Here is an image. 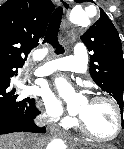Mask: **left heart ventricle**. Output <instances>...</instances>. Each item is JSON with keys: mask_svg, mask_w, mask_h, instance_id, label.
<instances>
[{"mask_svg": "<svg viewBox=\"0 0 124 149\" xmlns=\"http://www.w3.org/2000/svg\"><path fill=\"white\" fill-rule=\"evenodd\" d=\"M76 114L99 137H111L116 131V115L113 107L107 102H83L78 105Z\"/></svg>", "mask_w": 124, "mask_h": 149, "instance_id": "1", "label": "left heart ventricle"}]
</instances>
